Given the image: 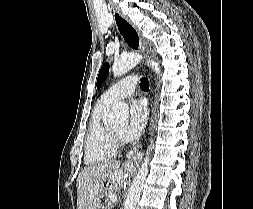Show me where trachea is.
<instances>
[{
	"label": "trachea",
	"instance_id": "3493384b",
	"mask_svg": "<svg viewBox=\"0 0 253 209\" xmlns=\"http://www.w3.org/2000/svg\"><path fill=\"white\" fill-rule=\"evenodd\" d=\"M122 30L124 31L123 28H122ZM140 87L142 89H146V90L149 89V82H148V79L146 77L141 78Z\"/></svg>",
	"mask_w": 253,
	"mask_h": 209
}]
</instances>
